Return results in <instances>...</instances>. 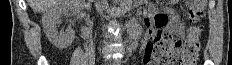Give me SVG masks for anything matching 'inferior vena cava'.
Here are the masks:
<instances>
[{"mask_svg": "<svg viewBox=\"0 0 232 65\" xmlns=\"http://www.w3.org/2000/svg\"><path fill=\"white\" fill-rule=\"evenodd\" d=\"M102 2H103L102 5H98V6H97V10H98V12H100V13H102L103 7H104V5L106 4L105 1H102Z\"/></svg>", "mask_w": 232, "mask_h": 65, "instance_id": "obj_1", "label": "inferior vena cava"}]
</instances>
